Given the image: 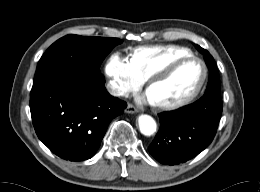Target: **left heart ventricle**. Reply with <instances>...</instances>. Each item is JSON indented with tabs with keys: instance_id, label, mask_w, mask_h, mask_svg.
<instances>
[{
	"instance_id": "1",
	"label": "left heart ventricle",
	"mask_w": 260,
	"mask_h": 192,
	"mask_svg": "<svg viewBox=\"0 0 260 192\" xmlns=\"http://www.w3.org/2000/svg\"><path fill=\"white\" fill-rule=\"evenodd\" d=\"M200 67L188 62L179 66L171 75L156 82L150 90L151 96L158 101L180 98L189 93L197 84Z\"/></svg>"
}]
</instances>
